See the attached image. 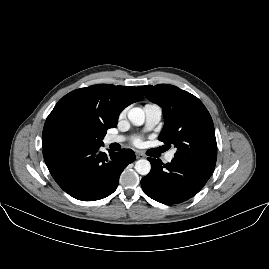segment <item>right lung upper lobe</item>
I'll return each mask as SVG.
<instances>
[{
  "mask_svg": "<svg viewBox=\"0 0 269 269\" xmlns=\"http://www.w3.org/2000/svg\"><path fill=\"white\" fill-rule=\"evenodd\" d=\"M143 99L138 89L132 86L99 84L74 90L61 98L47 117L42 146L66 143L64 125L68 122L79 126L92 124L107 132L116 127L124 108Z\"/></svg>",
  "mask_w": 269,
  "mask_h": 269,
  "instance_id": "obj_1",
  "label": "right lung upper lobe"
}]
</instances>
